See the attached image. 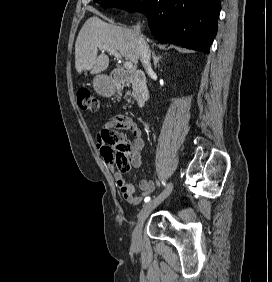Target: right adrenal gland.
<instances>
[{
	"instance_id": "1",
	"label": "right adrenal gland",
	"mask_w": 272,
	"mask_h": 282,
	"mask_svg": "<svg viewBox=\"0 0 272 282\" xmlns=\"http://www.w3.org/2000/svg\"><path fill=\"white\" fill-rule=\"evenodd\" d=\"M152 58H153V63H154V67L156 68L157 67V63L159 62V60L162 58V56L160 55H156L155 54V51L153 50L152 51Z\"/></svg>"
}]
</instances>
